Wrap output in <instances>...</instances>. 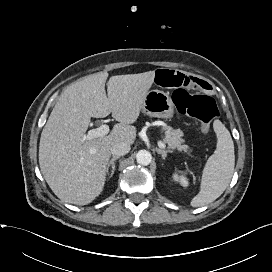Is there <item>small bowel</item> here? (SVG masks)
<instances>
[{
	"instance_id": "c3829d8e",
	"label": "small bowel",
	"mask_w": 272,
	"mask_h": 272,
	"mask_svg": "<svg viewBox=\"0 0 272 272\" xmlns=\"http://www.w3.org/2000/svg\"><path fill=\"white\" fill-rule=\"evenodd\" d=\"M155 81L159 86L165 88H189L193 90H208L210 88V84L205 80L171 69L157 70Z\"/></svg>"
}]
</instances>
